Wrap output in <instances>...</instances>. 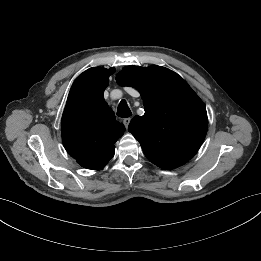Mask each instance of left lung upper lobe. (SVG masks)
I'll use <instances>...</instances> for the list:
<instances>
[{
	"mask_svg": "<svg viewBox=\"0 0 261 261\" xmlns=\"http://www.w3.org/2000/svg\"><path fill=\"white\" fill-rule=\"evenodd\" d=\"M136 88L145 114L135 116L128 130L145 156L162 169L188 162L202 145L208 127L204 103L184 79L161 66H126L116 76Z\"/></svg>",
	"mask_w": 261,
	"mask_h": 261,
	"instance_id": "obj_1",
	"label": "left lung upper lobe"
}]
</instances>
